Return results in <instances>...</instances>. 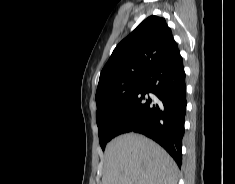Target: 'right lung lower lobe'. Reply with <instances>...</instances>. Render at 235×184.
Listing matches in <instances>:
<instances>
[{"instance_id": "98d812e1", "label": "right lung lower lobe", "mask_w": 235, "mask_h": 184, "mask_svg": "<svg viewBox=\"0 0 235 184\" xmlns=\"http://www.w3.org/2000/svg\"><path fill=\"white\" fill-rule=\"evenodd\" d=\"M150 94V95H149ZM186 84L178 50L143 79L117 122L116 136L137 132L160 144L181 167L186 114Z\"/></svg>"}]
</instances>
